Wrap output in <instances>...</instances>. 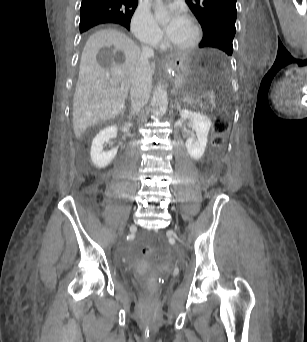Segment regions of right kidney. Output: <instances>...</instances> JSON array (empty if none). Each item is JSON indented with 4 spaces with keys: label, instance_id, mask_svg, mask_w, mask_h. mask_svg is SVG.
<instances>
[{
    "label": "right kidney",
    "instance_id": "1",
    "mask_svg": "<svg viewBox=\"0 0 307 342\" xmlns=\"http://www.w3.org/2000/svg\"><path fill=\"white\" fill-rule=\"evenodd\" d=\"M111 138H117L116 126L104 128V130H101V132L93 138L90 150L91 162L93 166H95V168H99V170L107 168L118 152V146L117 148H112L109 152H103L105 142H109Z\"/></svg>",
    "mask_w": 307,
    "mask_h": 342
}]
</instances>
